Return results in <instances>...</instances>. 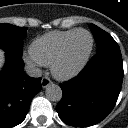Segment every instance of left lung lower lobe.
Listing matches in <instances>:
<instances>
[{
	"instance_id": "0a47b994",
	"label": "left lung lower lobe",
	"mask_w": 128,
	"mask_h": 128,
	"mask_svg": "<svg viewBox=\"0 0 128 128\" xmlns=\"http://www.w3.org/2000/svg\"><path fill=\"white\" fill-rule=\"evenodd\" d=\"M123 74L119 46L98 51L82 72L60 84L63 96L56 107L59 117L74 127L102 121L116 104Z\"/></svg>"
}]
</instances>
